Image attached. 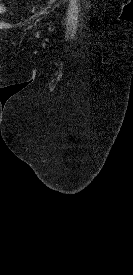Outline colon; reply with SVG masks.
<instances>
[{
	"mask_svg": "<svg viewBox=\"0 0 133 275\" xmlns=\"http://www.w3.org/2000/svg\"><path fill=\"white\" fill-rule=\"evenodd\" d=\"M4 11V7L2 4H0V12L2 13Z\"/></svg>",
	"mask_w": 133,
	"mask_h": 275,
	"instance_id": "1",
	"label": "colon"
}]
</instances>
